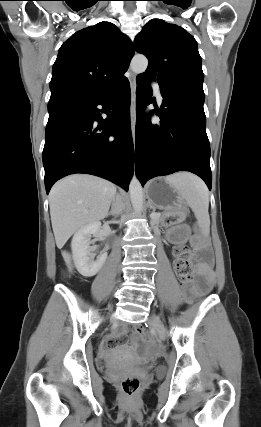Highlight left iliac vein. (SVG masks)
<instances>
[{"label": "left iliac vein", "instance_id": "obj_1", "mask_svg": "<svg viewBox=\"0 0 261 427\" xmlns=\"http://www.w3.org/2000/svg\"><path fill=\"white\" fill-rule=\"evenodd\" d=\"M151 323L152 325L156 328L157 332L159 333V335L161 336V338L166 339L167 337V332H166V328L164 326V324L162 323V321L160 320V318L153 314L151 316Z\"/></svg>", "mask_w": 261, "mask_h": 427}]
</instances>
